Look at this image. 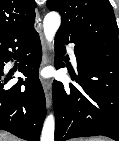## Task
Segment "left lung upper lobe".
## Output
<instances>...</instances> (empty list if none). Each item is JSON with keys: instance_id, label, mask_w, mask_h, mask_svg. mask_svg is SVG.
Returning <instances> with one entry per match:
<instances>
[{"instance_id": "1", "label": "left lung upper lobe", "mask_w": 119, "mask_h": 141, "mask_svg": "<svg viewBox=\"0 0 119 141\" xmlns=\"http://www.w3.org/2000/svg\"><path fill=\"white\" fill-rule=\"evenodd\" d=\"M62 18L58 32H67L92 54L119 57L118 26L109 0H47Z\"/></svg>"}]
</instances>
